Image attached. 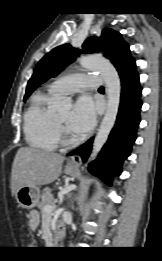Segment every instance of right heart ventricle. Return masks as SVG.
<instances>
[{
    "label": "right heart ventricle",
    "mask_w": 162,
    "mask_h": 261,
    "mask_svg": "<svg viewBox=\"0 0 162 261\" xmlns=\"http://www.w3.org/2000/svg\"><path fill=\"white\" fill-rule=\"evenodd\" d=\"M56 95L49 89L35 93L24 114L25 138L33 148L53 151L58 146L59 135L55 115L49 107Z\"/></svg>",
    "instance_id": "e07e8e85"
}]
</instances>
